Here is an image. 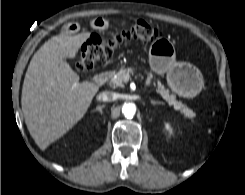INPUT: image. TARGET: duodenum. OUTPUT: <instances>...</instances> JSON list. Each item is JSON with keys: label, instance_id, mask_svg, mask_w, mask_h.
I'll return each instance as SVG.
<instances>
[{"label": "duodenum", "instance_id": "410a0bca", "mask_svg": "<svg viewBox=\"0 0 245 195\" xmlns=\"http://www.w3.org/2000/svg\"><path fill=\"white\" fill-rule=\"evenodd\" d=\"M110 75L111 74L108 71H104V72L99 73L94 79L95 84L96 85L104 84L109 79Z\"/></svg>", "mask_w": 245, "mask_h": 195}]
</instances>
